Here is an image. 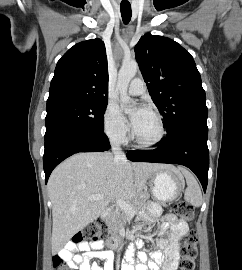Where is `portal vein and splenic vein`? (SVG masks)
<instances>
[{
  "label": "portal vein and splenic vein",
  "mask_w": 242,
  "mask_h": 270,
  "mask_svg": "<svg viewBox=\"0 0 242 270\" xmlns=\"http://www.w3.org/2000/svg\"><path fill=\"white\" fill-rule=\"evenodd\" d=\"M104 198H105V196L102 194L90 195L88 197L89 200H101ZM116 203L126 214H128V215H135L136 214L134 208L132 207V205L129 202L124 201L122 199H116Z\"/></svg>",
  "instance_id": "portal-vein-and-splenic-vein-1"
}]
</instances>
